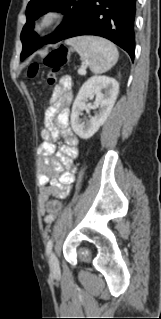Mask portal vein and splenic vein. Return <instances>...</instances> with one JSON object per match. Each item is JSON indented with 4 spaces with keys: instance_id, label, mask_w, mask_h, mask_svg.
Here are the masks:
<instances>
[{
    "instance_id": "obj_1",
    "label": "portal vein and splenic vein",
    "mask_w": 161,
    "mask_h": 319,
    "mask_svg": "<svg viewBox=\"0 0 161 319\" xmlns=\"http://www.w3.org/2000/svg\"><path fill=\"white\" fill-rule=\"evenodd\" d=\"M78 73L81 74V75H84L86 73V70L84 68H80L78 70Z\"/></svg>"
}]
</instances>
